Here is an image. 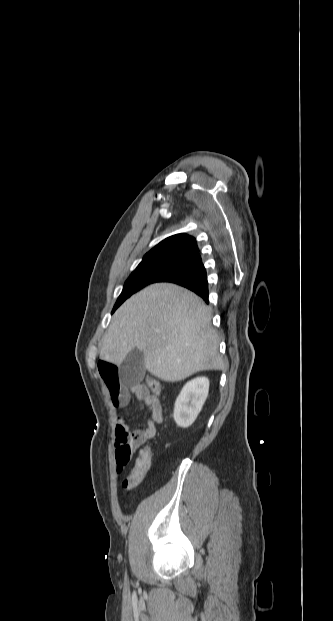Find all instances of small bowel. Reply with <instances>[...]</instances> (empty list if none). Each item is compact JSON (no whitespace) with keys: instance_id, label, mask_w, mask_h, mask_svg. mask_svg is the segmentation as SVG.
<instances>
[{"instance_id":"obj_1","label":"small bowel","mask_w":333,"mask_h":621,"mask_svg":"<svg viewBox=\"0 0 333 621\" xmlns=\"http://www.w3.org/2000/svg\"><path fill=\"white\" fill-rule=\"evenodd\" d=\"M98 370L114 407H127L131 396L134 395L140 401L139 409L146 407L149 411L146 426L134 431H130L128 419L123 417L117 419L114 451L117 471L120 472L129 463L134 450L155 436L157 426L163 421L162 405L158 395L152 392L147 381L129 386L124 385L115 363L101 359L98 362Z\"/></svg>"}]
</instances>
